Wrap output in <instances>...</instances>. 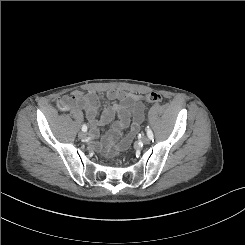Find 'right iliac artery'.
Returning <instances> with one entry per match:
<instances>
[{"instance_id": "82829eb1", "label": "right iliac artery", "mask_w": 245, "mask_h": 245, "mask_svg": "<svg viewBox=\"0 0 245 245\" xmlns=\"http://www.w3.org/2000/svg\"><path fill=\"white\" fill-rule=\"evenodd\" d=\"M82 131H83V132H86V131H87V125H86V124H84V125L82 126Z\"/></svg>"}]
</instances>
